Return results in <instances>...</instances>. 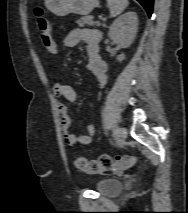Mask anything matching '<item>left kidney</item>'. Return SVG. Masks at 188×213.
I'll use <instances>...</instances> for the list:
<instances>
[{"instance_id": "left-kidney-1", "label": "left kidney", "mask_w": 188, "mask_h": 213, "mask_svg": "<svg viewBox=\"0 0 188 213\" xmlns=\"http://www.w3.org/2000/svg\"><path fill=\"white\" fill-rule=\"evenodd\" d=\"M138 29V17L129 11L114 20L109 28V38L120 48H128L134 42ZM125 59L124 54L117 56L118 61Z\"/></svg>"}]
</instances>
